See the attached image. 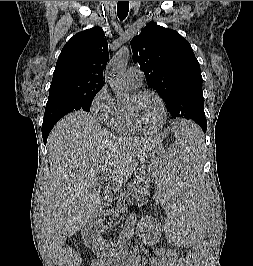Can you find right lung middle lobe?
Here are the masks:
<instances>
[{
	"label": "right lung middle lobe",
	"instance_id": "right-lung-middle-lobe-1",
	"mask_svg": "<svg viewBox=\"0 0 253 266\" xmlns=\"http://www.w3.org/2000/svg\"><path fill=\"white\" fill-rule=\"evenodd\" d=\"M98 91L67 92L49 95L43 125L56 123L61 117L73 111L81 110L89 112L90 105Z\"/></svg>",
	"mask_w": 253,
	"mask_h": 266
}]
</instances>
